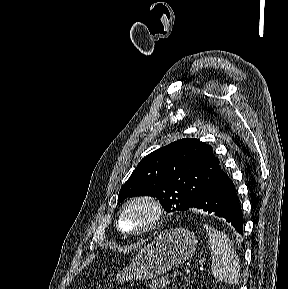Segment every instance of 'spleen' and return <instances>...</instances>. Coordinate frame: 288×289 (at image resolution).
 <instances>
[{"label": "spleen", "instance_id": "1", "mask_svg": "<svg viewBox=\"0 0 288 289\" xmlns=\"http://www.w3.org/2000/svg\"><path fill=\"white\" fill-rule=\"evenodd\" d=\"M211 247L212 274L218 280L236 285L240 277V262L232 241L223 232L204 225Z\"/></svg>", "mask_w": 288, "mask_h": 289}]
</instances>
